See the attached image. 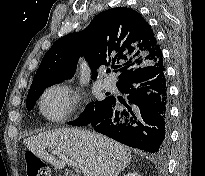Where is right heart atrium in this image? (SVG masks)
Returning <instances> with one entry per match:
<instances>
[{
	"label": "right heart atrium",
	"instance_id": "obj_1",
	"mask_svg": "<svg viewBox=\"0 0 205 176\" xmlns=\"http://www.w3.org/2000/svg\"><path fill=\"white\" fill-rule=\"evenodd\" d=\"M79 94L66 84H56L44 91L39 100L41 113L50 121L62 122L76 109Z\"/></svg>",
	"mask_w": 205,
	"mask_h": 176
}]
</instances>
